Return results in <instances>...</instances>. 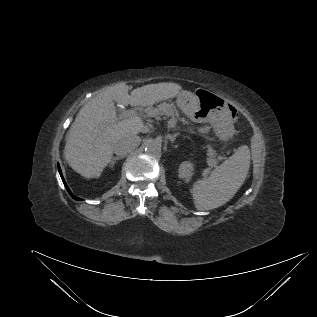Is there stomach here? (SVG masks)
<instances>
[{
    "mask_svg": "<svg viewBox=\"0 0 317 317\" xmlns=\"http://www.w3.org/2000/svg\"><path fill=\"white\" fill-rule=\"evenodd\" d=\"M178 107L195 121H209L215 133L227 139L233 134L228 104L225 98L204 88H197L194 93L181 91L177 95Z\"/></svg>",
    "mask_w": 317,
    "mask_h": 317,
    "instance_id": "obj_1",
    "label": "stomach"
}]
</instances>
